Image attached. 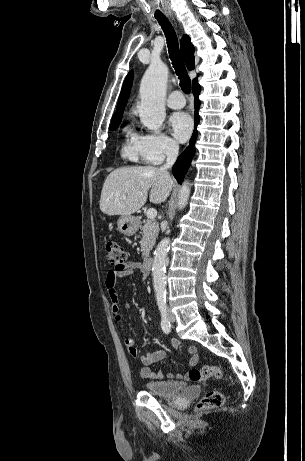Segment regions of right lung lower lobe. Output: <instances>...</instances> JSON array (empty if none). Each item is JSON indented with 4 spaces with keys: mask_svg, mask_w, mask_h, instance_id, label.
<instances>
[{
    "mask_svg": "<svg viewBox=\"0 0 305 461\" xmlns=\"http://www.w3.org/2000/svg\"><path fill=\"white\" fill-rule=\"evenodd\" d=\"M200 85L198 84V82H194L192 84V92L195 96V101H194V106H195V128H194V132L192 134V137L190 139V144L189 146L184 150V152L178 157L176 163L174 164L173 166V175L174 177L177 179L178 183H182L183 181V178L185 176V174L187 173V170L190 166V163H191V160L194 156V153H195V147H194V144H195V140L197 138V130H196V126L199 122V114H198V110H199V106H200V101H199V94H200Z\"/></svg>",
    "mask_w": 305,
    "mask_h": 461,
    "instance_id": "right-lung-lower-lobe-1",
    "label": "right lung lower lobe"
}]
</instances>
